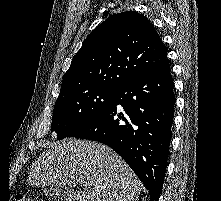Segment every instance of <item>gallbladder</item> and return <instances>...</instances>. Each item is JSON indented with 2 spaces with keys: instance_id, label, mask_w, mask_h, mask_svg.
Here are the masks:
<instances>
[{
  "instance_id": "gallbladder-1",
  "label": "gallbladder",
  "mask_w": 221,
  "mask_h": 201,
  "mask_svg": "<svg viewBox=\"0 0 221 201\" xmlns=\"http://www.w3.org/2000/svg\"><path fill=\"white\" fill-rule=\"evenodd\" d=\"M44 194L52 201H64L71 198L72 191L62 184H51L45 186Z\"/></svg>"
}]
</instances>
